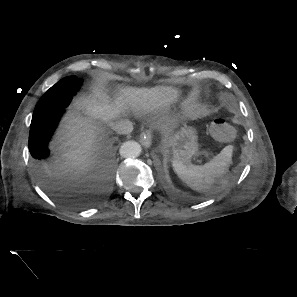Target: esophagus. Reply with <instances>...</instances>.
Here are the masks:
<instances>
[{
    "label": "esophagus",
    "mask_w": 297,
    "mask_h": 297,
    "mask_svg": "<svg viewBox=\"0 0 297 297\" xmlns=\"http://www.w3.org/2000/svg\"><path fill=\"white\" fill-rule=\"evenodd\" d=\"M140 142L144 147H150L152 143V131L145 129L140 135Z\"/></svg>",
    "instance_id": "1"
}]
</instances>
